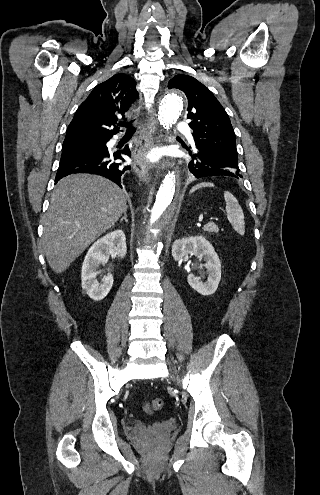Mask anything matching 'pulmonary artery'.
I'll list each match as a JSON object with an SVG mask.
<instances>
[{
    "instance_id": "pulmonary-artery-1",
    "label": "pulmonary artery",
    "mask_w": 320,
    "mask_h": 495,
    "mask_svg": "<svg viewBox=\"0 0 320 495\" xmlns=\"http://www.w3.org/2000/svg\"><path fill=\"white\" fill-rule=\"evenodd\" d=\"M177 128H178L179 130H183V129H185V128H186V124H185L184 122H180V123L178 124ZM189 139H190L191 141L193 140V138H192V136H191V135H189Z\"/></svg>"
}]
</instances>
